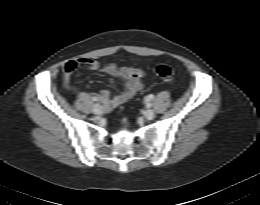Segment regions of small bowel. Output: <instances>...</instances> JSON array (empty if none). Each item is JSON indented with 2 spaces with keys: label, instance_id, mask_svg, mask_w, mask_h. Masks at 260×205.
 <instances>
[{
  "label": "small bowel",
  "instance_id": "obj_1",
  "mask_svg": "<svg viewBox=\"0 0 260 205\" xmlns=\"http://www.w3.org/2000/svg\"><path fill=\"white\" fill-rule=\"evenodd\" d=\"M78 67H85L90 70L101 69L104 73L120 81L121 91L118 94L111 96L110 90L103 89L98 94V97L95 96L107 110L116 108L130 100L140 90L144 79V72L137 67H118L113 63H109L101 68L99 61L96 59L80 58L76 61H68L63 67V85L68 90L79 91V87L72 80V75Z\"/></svg>",
  "mask_w": 260,
  "mask_h": 205
}]
</instances>
